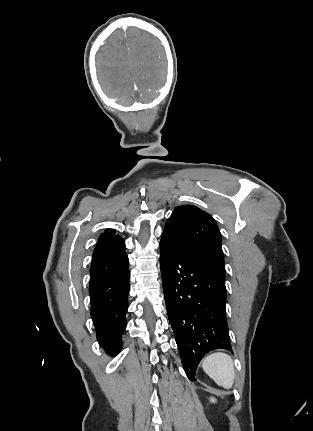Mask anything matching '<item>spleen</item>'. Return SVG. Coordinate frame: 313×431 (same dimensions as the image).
Masks as SVG:
<instances>
[{
    "label": "spleen",
    "instance_id": "1",
    "mask_svg": "<svg viewBox=\"0 0 313 431\" xmlns=\"http://www.w3.org/2000/svg\"><path fill=\"white\" fill-rule=\"evenodd\" d=\"M204 372L218 385L231 389L235 379L232 358L222 352L208 355L202 361Z\"/></svg>",
    "mask_w": 313,
    "mask_h": 431
}]
</instances>
